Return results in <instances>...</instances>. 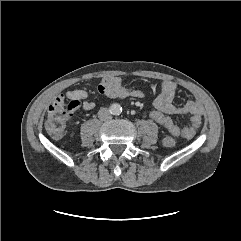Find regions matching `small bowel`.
Listing matches in <instances>:
<instances>
[{"label":"small bowel","instance_id":"small-bowel-1","mask_svg":"<svg viewBox=\"0 0 241 241\" xmlns=\"http://www.w3.org/2000/svg\"><path fill=\"white\" fill-rule=\"evenodd\" d=\"M103 88L104 95L110 98H142L144 92L139 89L129 88L122 84L120 78L111 76L104 78L99 84ZM176 94V86L172 82H162L158 93L153 98V106L166 115H185L190 114L200 117L203 113V107L196 100H188L183 106H177L173 100ZM70 100H85L82 108L85 111L92 110L95 107L93 101L87 100L88 93L85 90H72L66 93Z\"/></svg>","mask_w":241,"mask_h":241}]
</instances>
